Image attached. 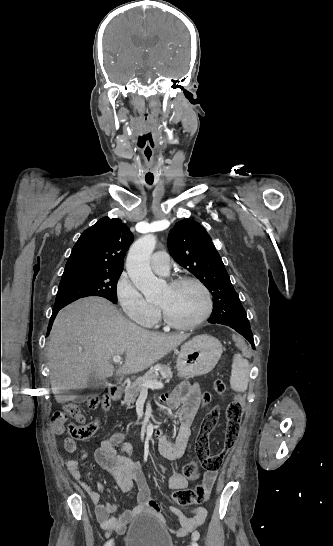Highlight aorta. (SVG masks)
I'll use <instances>...</instances> for the list:
<instances>
[{
  "label": "aorta",
  "mask_w": 333,
  "mask_h": 546,
  "mask_svg": "<svg viewBox=\"0 0 333 546\" xmlns=\"http://www.w3.org/2000/svg\"><path fill=\"white\" fill-rule=\"evenodd\" d=\"M155 246L156 237L144 235L131 246L126 260V270L132 282L147 300H153L158 293V281L150 267V256Z\"/></svg>",
  "instance_id": "aorta-1"
}]
</instances>
